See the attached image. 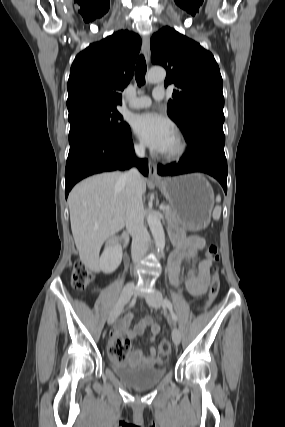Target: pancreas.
I'll use <instances>...</instances> for the list:
<instances>
[{
	"label": "pancreas",
	"instance_id": "1",
	"mask_svg": "<svg viewBox=\"0 0 285 427\" xmlns=\"http://www.w3.org/2000/svg\"><path fill=\"white\" fill-rule=\"evenodd\" d=\"M164 215L167 218L169 223H176L178 221L176 212L169 205H167V209L164 210Z\"/></svg>",
	"mask_w": 285,
	"mask_h": 427
}]
</instances>
